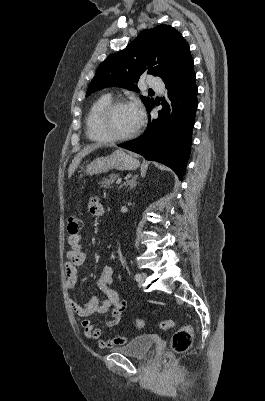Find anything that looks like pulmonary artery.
Wrapping results in <instances>:
<instances>
[{"label":"pulmonary artery","mask_w":265,"mask_h":401,"mask_svg":"<svg viewBox=\"0 0 265 401\" xmlns=\"http://www.w3.org/2000/svg\"><path fill=\"white\" fill-rule=\"evenodd\" d=\"M151 88L152 90H163L164 83L161 81L160 76L154 75L151 77Z\"/></svg>","instance_id":"obj_1"}]
</instances>
